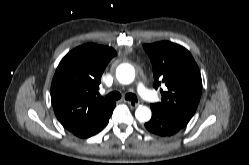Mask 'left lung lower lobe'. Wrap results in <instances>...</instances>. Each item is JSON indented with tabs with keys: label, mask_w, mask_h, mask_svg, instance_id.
I'll use <instances>...</instances> for the list:
<instances>
[{
	"label": "left lung lower lobe",
	"mask_w": 249,
	"mask_h": 165,
	"mask_svg": "<svg viewBox=\"0 0 249 165\" xmlns=\"http://www.w3.org/2000/svg\"><path fill=\"white\" fill-rule=\"evenodd\" d=\"M152 118L145 123L148 131L159 136H171L184 128L191 118L163 110L155 104L150 105Z\"/></svg>",
	"instance_id": "left-lung-lower-lobe-1"
}]
</instances>
